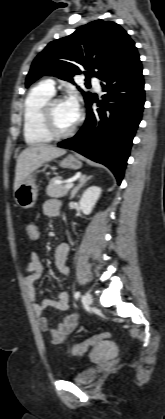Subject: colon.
<instances>
[{
    "mask_svg": "<svg viewBox=\"0 0 165 419\" xmlns=\"http://www.w3.org/2000/svg\"><path fill=\"white\" fill-rule=\"evenodd\" d=\"M29 232L32 235H35V226L33 225V223L29 224ZM110 338V333L109 332H103L100 333L98 335H95L89 339H87L84 342H81L79 344H76L75 346L72 347L71 349V353L74 355H82L86 352H88L89 350L93 349L96 345H98L99 343L107 340Z\"/></svg>",
    "mask_w": 165,
    "mask_h": 419,
    "instance_id": "5ec220e1",
    "label": "colon"
}]
</instances>
